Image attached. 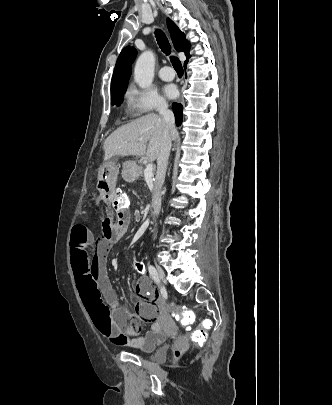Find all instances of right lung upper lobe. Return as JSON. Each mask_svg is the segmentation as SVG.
<instances>
[{"mask_svg":"<svg viewBox=\"0 0 332 405\" xmlns=\"http://www.w3.org/2000/svg\"><path fill=\"white\" fill-rule=\"evenodd\" d=\"M167 26L171 33V38L175 49L178 52H184L186 57L189 58L190 44L185 40V34L167 18ZM137 51L134 47H125L116 62L114 73L111 80V88L117 86L120 83L128 82L131 75V65L136 57ZM188 59L185 61L187 62Z\"/></svg>","mask_w":332,"mask_h":405,"instance_id":"1","label":"right lung upper lobe"}]
</instances>
